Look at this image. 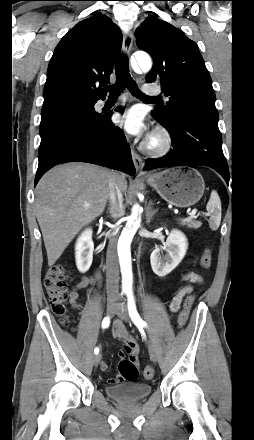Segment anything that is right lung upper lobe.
<instances>
[{
	"instance_id": "right-lung-upper-lobe-1",
	"label": "right lung upper lobe",
	"mask_w": 254,
	"mask_h": 440,
	"mask_svg": "<svg viewBox=\"0 0 254 440\" xmlns=\"http://www.w3.org/2000/svg\"><path fill=\"white\" fill-rule=\"evenodd\" d=\"M122 33L105 15L77 23L61 39L50 60L43 92L44 101L58 95H79L98 100L109 82L119 54Z\"/></svg>"
}]
</instances>
